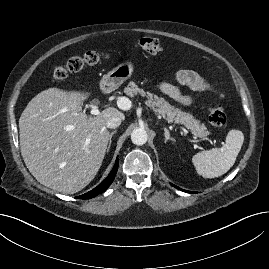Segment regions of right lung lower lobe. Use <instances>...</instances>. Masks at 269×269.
<instances>
[{
    "label": "right lung lower lobe",
    "instance_id": "right-lung-lower-lobe-1",
    "mask_svg": "<svg viewBox=\"0 0 269 269\" xmlns=\"http://www.w3.org/2000/svg\"><path fill=\"white\" fill-rule=\"evenodd\" d=\"M118 164H119V160L118 158L115 161V165L112 169V171L110 172V174L108 175V177L101 183L99 184L97 187H95L93 190L78 196L76 198L78 199H89V198H93L95 196H97L98 194L104 192L109 186L110 184L113 182L114 177L116 175L117 169H118Z\"/></svg>",
    "mask_w": 269,
    "mask_h": 269
}]
</instances>
